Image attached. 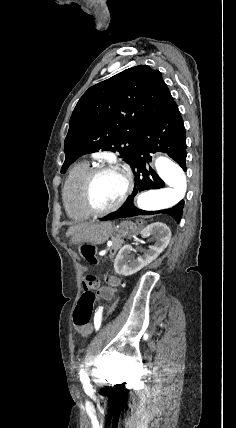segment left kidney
<instances>
[{"instance_id":"1","label":"left kidney","mask_w":236,"mask_h":428,"mask_svg":"<svg viewBox=\"0 0 236 428\" xmlns=\"http://www.w3.org/2000/svg\"><path fill=\"white\" fill-rule=\"evenodd\" d=\"M141 234L142 238H149V236L156 238L154 246H148V250H143L142 256H138V258L129 256L131 252H135L132 246H123L114 260V270L116 274H121V276H132V274H136L141 268L148 266L150 262L158 258L159 254L167 248L171 238V232L168 226L162 224V222H155V224L146 226Z\"/></svg>"}]
</instances>
